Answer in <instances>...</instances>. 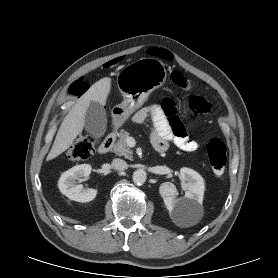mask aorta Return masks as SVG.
Here are the masks:
<instances>
[{"mask_svg":"<svg viewBox=\"0 0 278 278\" xmlns=\"http://www.w3.org/2000/svg\"><path fill=\"white\" fill-rule=\"evenodd\" d=\"M133 182L137 185H142L147 179L146 171L143 169H137L132 175Z\"/></svg>","mask_w":278,"mask_h":278,"instance_id":"762f6f07","label":"aorta"}]
</instances>
